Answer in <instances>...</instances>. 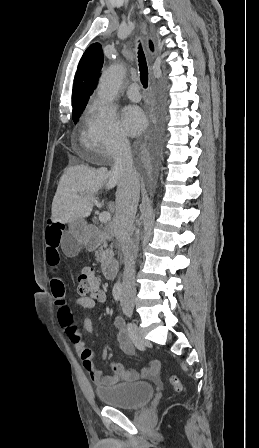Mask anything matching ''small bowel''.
<instances>
[{
	"instance_id": "1",
	"label": "small bowel",
	"mask_w": 259,
	"mask_h": 448,
	"mask_svg": "<svg viewBox=\"0 0 259 448\" xmlns=\"http://www.w3.org/2000/svg\"><path fill=\"white\" fill-rule=\"evenodd\" d=\"M64 227L59 222H51L45 230V260L48 265L51 280L50 287L54 304L57 306V319L63 332L73 343L76 352L79 354L83 367L94 384L99 387H109L115 385L118 381L127 382L136 381L141 376L149 378H157L160 372V362L156 359L150 361L148 367L141 373L135 370H126L121 363L111 362V372H103L96 368L92 360V352L85 347L79 330L73 324L72 312L68 306L65 296V285L58 275L60 264L59 246L61 243ZM106 295L101 291L95 296H82L75 300V303L85 310H91L97 304L103 303ZM116 328V338L119 350L127 355L132 356L135 352L134 346L128 336L126 324L123 319L117 317L114 320ZM83 328L87 332L93 330L92 321L88 315L84 316ZM107 350L103 353L106 358Z\"/></svg>"
}]
</instances>
